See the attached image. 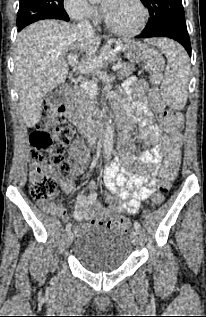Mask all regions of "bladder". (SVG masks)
I'll use <instances>...</instances> for the list:
<instances>
[{
	"instance_id": "obj_1",
	"label": "bladder",
	"mask_w": 206,
	"mask_h": 317,
	"mask_svg": "<svg viewBox=\"0 0 206 317\" xmlns=\"http://www.w3.org/2000/svg\"><path fill=\"white\" fill-rule=\"evenodd\" d=\"M131 253L132 244L125 234L100 226L85 227L73 245L75 259L95 272L120 268Z\"/></svg>"
}]
</instances>
